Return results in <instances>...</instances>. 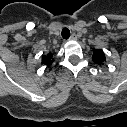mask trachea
I'll use <instances>...</instances> for the list:
<instances>
[{
  "mask_svg": "<svg viewBox=\"0 0 127 127\" xmlns=\"http://www.w3.org/2000/svg\"><path fill=\"white\" fill-rule=\"evenodd\" d=\"M62 37L64 39H68L70 37V31L68 28L65 27L62 29Z\"/></svg>",
  "mask_w": 127,
  "mask_h": 127,
  "instance_id": "1",
  "label": "trachea"
}]
</instances>
